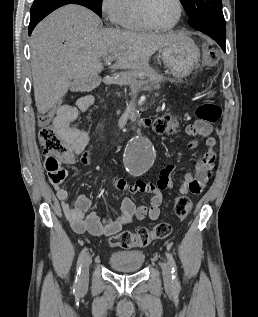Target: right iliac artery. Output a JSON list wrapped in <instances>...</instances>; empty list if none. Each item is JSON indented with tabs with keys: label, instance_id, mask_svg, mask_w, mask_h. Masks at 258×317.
<instances>
[{
	"label": "right iliac artery",
	"instance_id": "obj_1",
	"mask_svg": "<svg viewBox=\"0 0 258 317\" xmlns=\"http://www.w3.org/2000/svg\"><path fill=\"white\" fill-rule=\"evenodd\" d=\"M87 251V248L85 247L82 250L81 256L77 262V267H76V274H75V279L73 283V291L74 293H79L80 291V286H81V270L83 266V261H84V255Z\"/></svg>",
	"mask_w": 258,
	"mask_h": 317
}]
</instances>
